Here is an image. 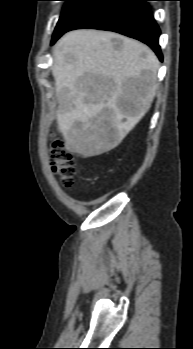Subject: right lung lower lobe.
<instances>
[{"label":"right lung lower lobe","instance_id":"obj_1","mask_svg":"<svg viewBox=\"0 0 193 349\" xmlns=\"http://www.w3.org/2000/svg\"><path fill=\"white\" fill-rule=\"evenodd\" d=\"M147 1L150 0H102L65 32L79 28L118 32L146 43L162 60L160 30ZM63 34L56 36L52 44Z\"/></svg>","mask_w":193,"mask_h":349}]
</instances>
